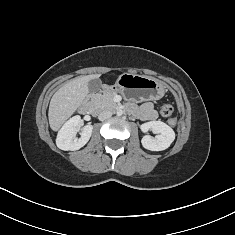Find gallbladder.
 I'll return each mask as SVG.
<instances>
[{
  "label": "gallbladder",
  "instance_id": "bac80fb5",
  "mask_svg": "<svg viewBox=\"0 0 235 235\" xmlns=\"http://www.w3.org/2000/svg\"><path fill=\"white\" fill-rule=\"evenodd\" d=\"M102 86V82L100 79H92L88 82V89L91 93L98 92Z\"/></svg>",
  "mask_w": 235,
  "mask_h": 235
}]
</instances>
